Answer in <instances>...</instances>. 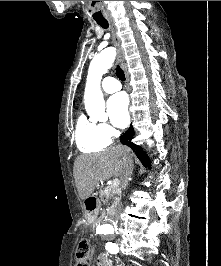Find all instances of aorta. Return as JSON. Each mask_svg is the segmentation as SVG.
<instances>
[{
    "label": "aorta",
    "instance_id": "1",
    "mask_svg": "<svg viewBox=\"0 0 221 266\" xmlns=\"http://www.w3.org/2000/svg\"><path fill=\"white\" fill-rule=\"evenodd\" d=\"M116 56L113 48H107L97 54L91 61L84 93L85 108L92 120H101L106 117L105 103L101 91L100 83L102 76L112 66ZM103 233L113 231L111 225L103 224L98 227Z\"/></svg>",
    "mask_w": 221,
    "mask_h": 266
}]
</instances>
